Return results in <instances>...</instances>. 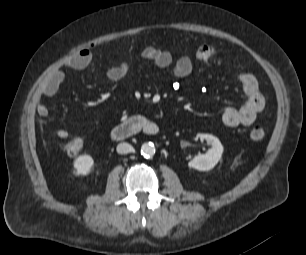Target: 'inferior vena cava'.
I'll use <instances>...</instances> for the list:
<instances>
[{
  "instance_id": "inferior-vena-cava-1",
  "label": "inferior vena cava",
  "mask_w": 306,
  "mask_h": 255,
  "mask_svg": "<svg viewBox=\"0 0 306 255\" xmlns=\"http://www.w3.org/2000/svg\"><path fill=\"white\" fill-rule=\"evenodd\" d=\"M133 151V147L128 143H120L117 145V152L119 154H127Z\"/></svg>"
}]
</instances>
